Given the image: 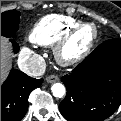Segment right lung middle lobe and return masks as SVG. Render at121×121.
<instances>
[{"instance_id": "obj_1", "label": "right lung middle lobe", "mask_w": 121, "mask_h": 121, "mask_svg": "<svg viewBox=\"0 0 121 121\" xmlns=\"http://www.w3.org/2000/svg\"><path fill=\"white\" fill-rule=\"evenodd\" d=\"M21 13L16 10H10L1 13V35L7 38H13L18 30Z\"/></svg>"}]
</instances>
